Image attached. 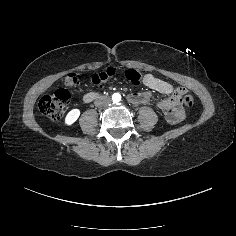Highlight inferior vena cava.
Segmentation results:
<instances>
[{
  "label": "inferior vena cava",
  "mask_w": 236,
  "mask_h": 236,
  "mask_svg": "<svg viewBox=\"0 0 236 236\" xmlns=\"http://www.w3.org/2000/svg\"><path fill=\"white\" fill-rule=\"evenodd\" d=\"M111 104V99L107 96H101L95 100V105L98 107H105Z\"/></svg>",
  "instance_id": "602c4592"
}]
</instances>
